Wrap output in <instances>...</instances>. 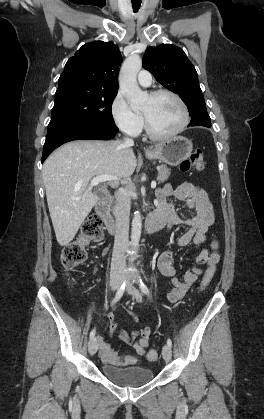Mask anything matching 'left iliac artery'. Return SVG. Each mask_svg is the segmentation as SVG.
Returning <instances> with one entry per match:
<instances>
[{
    "mask_svg": "<svg viewBox=\"0 0 264 419\" xmlns=\"http://www.w3.org/2000/svg\"><path fill=\"white\" fill-rule=\"evenodd\" d=\"M139 288H140V290L144 293V294H146V295H148L149 294V290H148V287L145 285V283L140 279L139 280ZM167 344L171 347L172 346V341H171V339H167Z\"/></svg>",
    "mask_w": 264,
    "mask_h": 419,
    "instance_id": "obj_1",
    "label": "left iliac artery"
}]
</instances>
